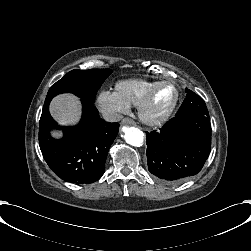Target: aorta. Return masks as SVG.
<instances>
[{"label": "aorta", "instance_id": "obj_1", "mask_svg": "<svg viewBox=\"0 0 251 251\" xmlns=\"http://www.w3.org/2000/svg\"><path fill=\"white\" fill-rule=\"evenodd\" d=\"M122 130L125 133L124 139L126 143L135 147H141L143 145L144 134L140 129L135 127H125L122 128Z\"/></svg>", "mask_w": 251, "mask_h": 251}]
</instances>
